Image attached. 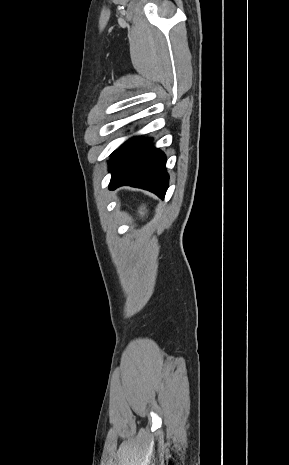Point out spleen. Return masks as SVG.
I'll use <instances>...</instances> for the list:
<instances>
[{"label":"spleen","instance_id":"spleen-1","mask_svg":"<svg viewBox=\"0 0 289 465\" xmlns=\"http://www.w3.org/2000/svg\"><path fill=\"white\" fill-rule=\"evenodd\" d=\"M144 209H145V207H141V208H140L139 212H140L141 215L144 214V212H143Z\"/></svg>","mask_w":289,"mask_h":465}]
</instances>
